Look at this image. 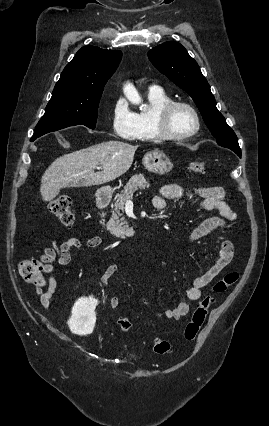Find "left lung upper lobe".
<instances>
[{"instance_id": "left-lung-upper-lobe-1", "label": "left lung upper lobe", "mask_w": 269, "mask_h": 426, "mask_svg": "<svg viewBox=\"0 0 269 426\" xmlns=\"http://www.w3.org/2000/svg\"><path fill=\"white\" fill-rule=\"evenodd\" d=\"M148 57L161 73L192 97L218 145L239 151L236 134L217 110L210 86L187 50L178 42L168 41L152 48Z\"/></svg>"}]
</instances>
